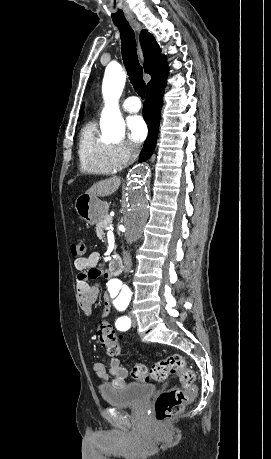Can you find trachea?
Wrapping results in <instances>:
<instances>
[{
	"label": "trachea",
	"instance_id": "obj_1",
	"mask_svg": "<svg viewBox=\"0 0 271 459\" xmlns=\"http://www.w3.org/2000/svg\"><path fill=\"white\" fill-rule=\"evenodd\" d=\"M121 37L122 59L129 80L141 98H145L146 83L143 80V68L137 56L135 33L129 24L116 25Z\"/></svg>",
	"mask_w": 271,
	"mask_h": 459
}]
</instances>
